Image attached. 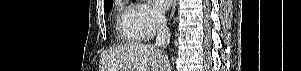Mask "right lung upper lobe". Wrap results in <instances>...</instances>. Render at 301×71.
<instances>
[{
    "instance_id": "cb5924a9",
    "label": "right lung upper lobe",
    "mask_w": 301,
    "mask_h": 71,
    "mask_svg": "<svg viewBox=\"0 0 301 71\" xmlns=\"http://www.w3.org/2000/svg\"><path fill=\"white\" fill-rule=\"evenodd\" d=\"M112 2L111 0H105V5Z\"/></svg>"
}]
</instances>
